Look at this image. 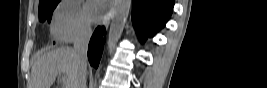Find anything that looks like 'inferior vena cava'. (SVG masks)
Returning <instances> with one entry per match:
<instances>
[{
	"label": "inferior vena cava",
	"mask_w": 267,
	"mask_h": 88,
	"mask_svg": "<svg viewBox=\"0 0 267 88\" xmlns=\"http://www.w3.org/2000/svg\"><path fill=\"white\" fill-rule=\"evenodd\" d=\"M91 34V26L85 24L74 39L73 52L78 65V75L74 88H86L87 50Z\"/></svg>",
	"instance_id": "inferior-vena-cava-1"
}]
</instances>
